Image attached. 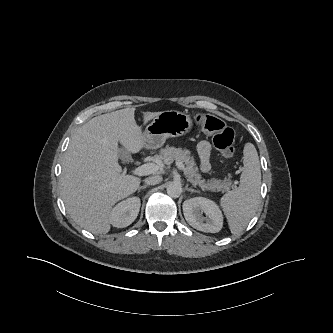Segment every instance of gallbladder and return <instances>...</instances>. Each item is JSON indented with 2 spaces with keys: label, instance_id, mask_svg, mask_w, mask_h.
Here are the masks:
<instances>
[{
  "label": "gallbladder",
  "instance_id": "1",
  "mask_svg": "<svg viewBox=\"0 0 333 333\" xmlns=\"http://www.w3.org/2000/svg\"><path fill=\"white\" fill-rule=\"evenodd\" d=\"M118 154L121 159H123L127 162L132 160L130 153L123 146L121 148H119Z\"/></svg>",
  "mask_w": 333,
  "mask_h": 333
}]
</instances>
